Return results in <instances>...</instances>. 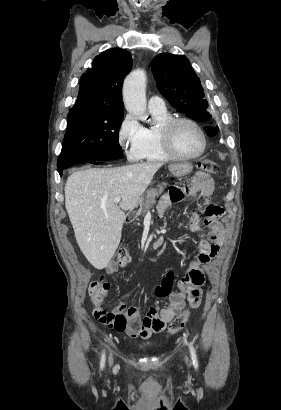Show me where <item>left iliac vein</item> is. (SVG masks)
Returning <instances> with one entry per match:
<instances>
[{
	"mask_svg": "<svg viewBox=\"0 0 281 410\" xmlns=\"http://www.w3.org/2000/svg\"><path fill=\"white\" fill-rule=\"evenodd\" d=\"M185 361H186L187 364L189 363V359H188L187 356H185Z\"/></svg>",
	"mask_w": 281,
	"mask_h": 410,
	"instance_id": "4c4485c4",
	"label": "left iliac vein"
}]
</instances>
